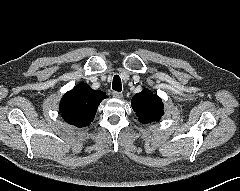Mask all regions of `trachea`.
<instances>
[{"label": "trachea", "instance_id": "3493384b", "mask_svg": "<svg viewBox=\"0 0 240 191\" xmlns=\"http://www.w3.org/2000/svg\"><path fill=\"white\" fill-rule=\"evenodd\" d=\"M112 89L118 92L122 90L121 79L118 75L113 77Z\"/></svg>", "mask_w": 240, "mask_h": 191}]
</instances>
